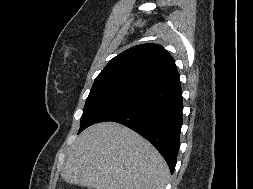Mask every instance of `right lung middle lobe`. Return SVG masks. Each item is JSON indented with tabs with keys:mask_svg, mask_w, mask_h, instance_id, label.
Segmentation results:
<instances>
[{
	"mask_svg": "<svg viewBox=\"0 0 253 189\" xmlns=\"http://www.w3.org/2000/svg\"><path fill=\"white\" fill-rule=\"evenodd\" d=\"M148 91L128 86H110L92 89L80 119L79 132L106 115L142 98Z\"/></svg>",
	"mask_w": 253,
	"mask_h": 189,
	"instance_id": "dd1d6c3e",
	"label": "right lung middle lobe"
}]
</instances>
